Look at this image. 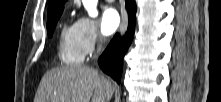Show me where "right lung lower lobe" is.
Wrapping results in <instances>:
<instances>
[{"mask_svg":"<svg viewBox=\"0 0 221 102\" xmlns=\"http://www.w3.org/2000/svg\"><path fill=\"white\" fill-rule=\"evenodd\" d=\"M129 15L128 29L124 37L116 34L99 59L102 70L120 83L123 68V57L130 46L135 31V0H126Z\"/></svg>","mask_w":221,"mask_h":102,"instance_id":"98d812e1","label":"right lung lower lobe"}]
</instances>
